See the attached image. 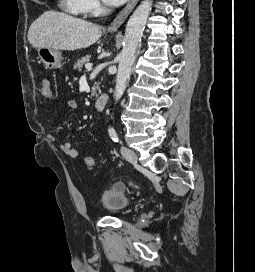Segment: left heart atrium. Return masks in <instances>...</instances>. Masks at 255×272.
<instances>
[{"label":"left heart atrium","mask_w":255,"mask_h":272,"mask_svg":"<svg viewBox=\"0 0 255 272\" xmlns=\"http://www.w3.org/2000/svg\"><path fill=\"white\" fill-rule=\"evenodd\" d=\"M126 0H103V2L108 6H119Z\"/></svg>","instance_id":"left-heart-atrium-1"}]
</instances>
